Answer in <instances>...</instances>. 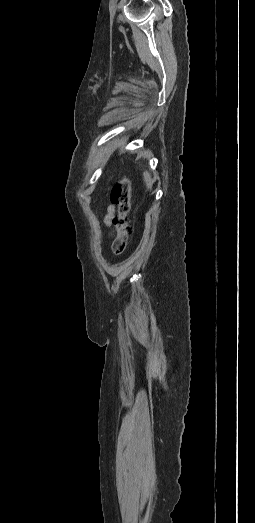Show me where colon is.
Wrapping results in <instances>:
<instances>
[{
  "instance_id": "obj_1",
  "label": "colon",
  "mask_w": 255,
  "mask_h": 523,
  "mask_svg": "<svg viewBox=\"0 0 255 523\" xmlns=\"http://www.w3.org/2000/svg\"><path fill=\"white\" fill-rule=\"evenodd\" d=\"M111 203L115 206V214L111 220L116 228V238L112 244L114 254H122L132 235L129 212L132 204L131 182L127 177L120 178L112 188Z\"/></svg>"
}]
</instances>
